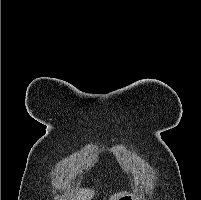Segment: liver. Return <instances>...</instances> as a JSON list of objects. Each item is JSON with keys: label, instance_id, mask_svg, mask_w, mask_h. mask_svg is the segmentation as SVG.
I'll use <instances>...</instances> for the list:
<instances>
[{"label": "liver", "instance_id": "obj_1", "mask_svg": "<svg viewBox=\"0 0 201 200\" xmlns=\"http://www.w3.org/2000/svg\"><path fill=\"white\" fill-rule=\"evenodd\" d=\"M126 192L115 193L112 195L109 200H119L120 197L124 196ZM94 197V190L92 189H80L77 193L76 200H92Z\"/></svg>", "mask_w": 201, "mask_h": 200}]
</instances>
